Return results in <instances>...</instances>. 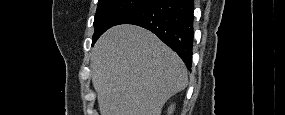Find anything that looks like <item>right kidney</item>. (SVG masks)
<instances>
[{
	"label": "right kidney",
	"instance_id": "ca27d5eb",
	"mask_svg": "<svg viewBox=\"0 0 285 115\" xmlns=\"http://www.w3.org/2000/svg\"><path fill=\"white\" fill-rule=\"evenodd\" d=\"M174 105H171L170 108L168 109V115H171L174 111Z\"/></svg>",
	"mask_w": 285,
	"mask_h": 115
}]
</instances>
